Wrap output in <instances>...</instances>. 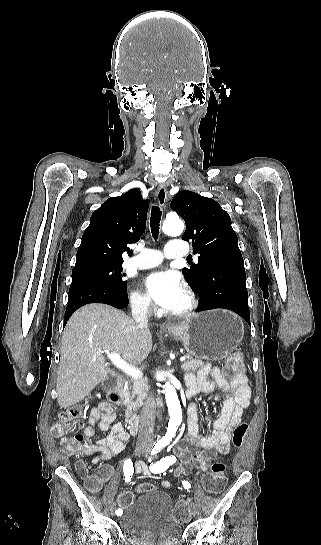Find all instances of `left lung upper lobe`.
<instances>
[{
	"label": "left lung upper lobe",
	"mask_w": 321,
	"mask_h": 545,
	"mask_svg": "<svg viewBox=\"0 0 321 545\" xmlns=\"http://www.w3.org/2000/svg\"><path fill=\"white\" fill-rule=\"evenodd\" d=\"M186 222L183 240H192L197 264L183 268L182 273L193 286L201 283L205 272L221 260L242 258L238 238L226 211L213 199L191 191H180L171 202Z\"/></svg>",
	"instance_id": "5c2ea615"
}]
</instances>
